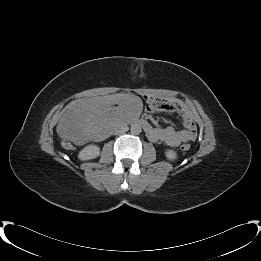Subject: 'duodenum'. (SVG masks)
Wrapping results in <instances>:
<instances>
[{
  "label": "duodenum",
  "mask_w": 261,
  "mask_h": 261,
  "mask_svg": "<svg viewBox=\"0 0 261 261\" xmlns=\"http://www.w3.org/2000/svg\"><path fill=\"white\" fill-rule=\"evenodd\" d=\"M137 124H139L145 130V132H147V134L152 130L151 125L144 119H139Z\"/></svg>",
  "instance_id": "410a0bca"
}]
</instances>
